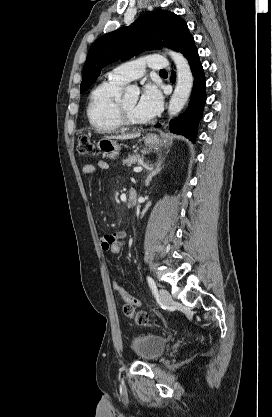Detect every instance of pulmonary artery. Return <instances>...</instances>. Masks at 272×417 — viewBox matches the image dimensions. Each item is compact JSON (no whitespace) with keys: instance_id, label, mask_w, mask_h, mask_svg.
Returning <instances> with one entry per match:
<instances>
[{"instance_id":"obj_1","label":"pulmonary artery","mask_w":272,"mask_h":417,"mask_svg":"<svg viewBox=\"0 0 272 417\" xmlns=\"http://www.w3.org/2000/svg\"><path fill=\"white\" fill-rule=\"evenodd\" d=\"M167 66L168 61L165 57L154 54L124 63L114 68L108 76L125 85L130 81L140 78L145 73L146 68L164 70Z\"/></svg>"}]
</instances>
